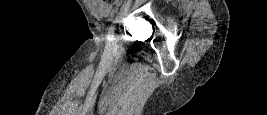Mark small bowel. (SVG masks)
I'll use <instances>...</instances> for the list:
<instances>
[{"instance_id": "c3829d8e", "label": "small bowel", "mask_w": 267, "mask_h": 115, "mask_svg": "<svg viewBox=\"0 0 267 115\" xmlns=\"http://www.w3.org/2000/svg\"><path fill=\"white\" fill-rule=\"evenodd\" d=\"M85 2L97 15H106L109 11V5L104 4L98 0H86Z\"/></svg>"}]
</instances>
